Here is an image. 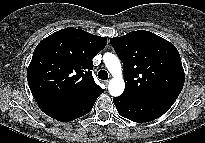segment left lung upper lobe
<instances>
[{"label":"left lung upper lobe","instance_id":"5c2ea615","mask_svg":"<svg viewBox=\"0 0 205 143\" xmlns=\"http://www.w3.org/2000/svg\"><path fill=\"white\" fill-rule=\"evenodd\" d=\"M110 43L124 65L125 90L121 96L139 100L180 94L185 75L172 43L143 30L111 38Z\"/></svg>","mask_w":205,"mask_h":143}]
</instances>
